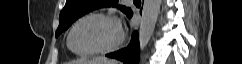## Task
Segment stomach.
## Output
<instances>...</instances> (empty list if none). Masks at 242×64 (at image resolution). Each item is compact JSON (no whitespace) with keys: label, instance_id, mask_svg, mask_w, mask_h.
<instances>
[{"label":"stomach","instance_id":"stomach-1","mask_svg":"<svg viewBox=\"0 0 242 64\" xmlns=\"http://www.w3.org/2000/svg\"><path fill=\"white\" fill-rule=\"evenodd\" d=\"M79 64H102V63H89V62H86V61H82Z\"/></svg>","mask_w":242,"mask_h":64}]
</instances>
